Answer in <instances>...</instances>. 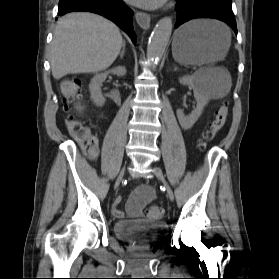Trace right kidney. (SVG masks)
I'll return each mask as SVG.
<instances>
[{"label":"right kidney","instance_id":"1","mask_svg":"<svg viewBox=\"0 0 279 279\" xmlns=\"http://www.w3.org/2000/svg\"><path fill=\"white\" fill-rule=\"evenodd\" d=\"M110 73L116 74L118 76H124L126 74V68L123 66H118L104 73L97 74L91 79V82L89 84V91L91 94V99L96 106H102L106 101L105 98L102 96L101 86Z\"/></svg>","mask_w":279,"mask_h":279}]
</instances>
